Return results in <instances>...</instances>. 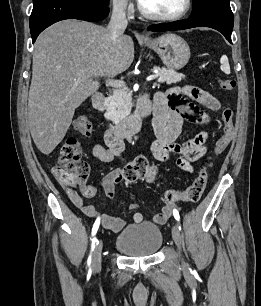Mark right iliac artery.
I'll list each match as a JSON object with an SVG mask.
<instances>
[{
	"instance_id": "obj_1",
	"label": "right iliac artery",
	"mask_w": 261,
	"mask_h": 306,
	"mask_svg": "<svg viewBox=\"0 0 261 306\" xmlns=\"http://www.w3.org/2000/svg\"><path fill=\"white\" fill-rule=\"evenodd\" d=\"M99 225H100V220L97 219V220L95 221L94 225H93L92 232H91V234H92L91 254H90V256H89V258H88V260H87V264H88L89 266H90L91 261H92V260H91L92 252L94 251L95 244H96V242H97V239L94 238V236L96 235V233H97V231H98Z\"/></svg>"
}]
</instances>
